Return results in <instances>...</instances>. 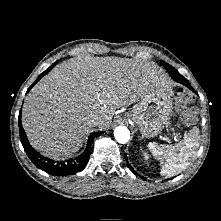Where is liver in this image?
<instances>
[{
    "instance_id": "1",
    "label": "liver",
    "mask_w": 221,
    "mask_h": 221,
    "mask_svg": "<svg viewBox=\"0 0 221 221\" xmlns=\"http://www.w3.org/2000/svg\"><path fill=\"white\" fill-rule=\"evenodd\" d=\"M154 63L84 56L65 61L27 95L22 124L37 151L63 160L79 151L88 121L107 128L117 108L129 106L148 91L168 87Z\"/></svg>"
}]
</instances>
